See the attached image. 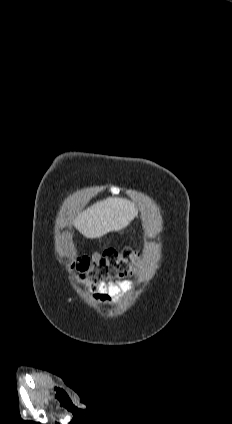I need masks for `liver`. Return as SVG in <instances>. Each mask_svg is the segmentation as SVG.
I'll list each match as a JSON object with an SVG mask.
<instances>
[{
  "label": "liver",
  "mask_w": 232,
  "mask_h": 424,
  "mask_svg": "<svg viewBox=\"0 0 232 424\" xmlns=\"http://www.w3.org/2000/svg\"><path fill=\"white\" fill-rule=\"evenodd\" d=\"M137 214L133 202L125 198L109 197L80 213L74 226L86 238L94 239L127 227Z\"/></svg>",
  "instance_id": "obj_1"
}]
</instances>
